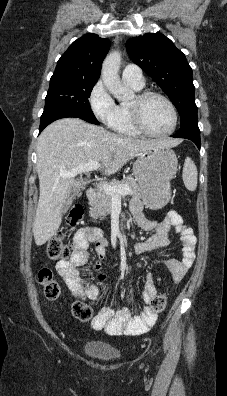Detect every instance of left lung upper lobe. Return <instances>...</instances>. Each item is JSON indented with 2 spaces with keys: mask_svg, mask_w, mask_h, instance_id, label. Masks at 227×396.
Here are the masks:
<instances>
[{
  "mask_svg": "<svg viewBox=\"0 0 227 396\" xmlns=\"http://www.w3.org/2000/svg\"><path fill=\"white\" fill-rule=\"evenodd\" d=\"M130 58L162 88L180 114L181 123L197 115L192 69L185 55L160 33H147L126 42Z\"/></svg>",
  "mask_w": 227,
  "mask_h": 396,
  "instance_id": "left-lung-upper-lobe-1",
  "label": "left lung upper lobe"
}]
</instances>
